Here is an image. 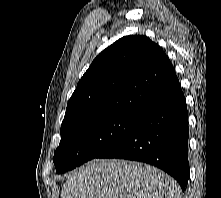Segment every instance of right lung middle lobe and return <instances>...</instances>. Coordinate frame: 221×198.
I'll return each mask as SVG.
<instances>
[{
	"instance_id": "right-lung-middle-lobe-1",
	"label": "right lung middle lobe",
	"mask_w": 221,
	"mask_h": 198,
	"mask_svg": "<svg viewBox=\"0 0 221 198\" xmlns=\"http://www.w3.org/2000/svg\"><path fill=\"white\" fill-rule=\"evenodd\" d=\"M139 119L135 115L115 114L62 134L53 158L56 173H64L96 158L127 135Z\"/></svg>"
}]
</instances>
